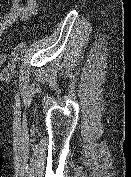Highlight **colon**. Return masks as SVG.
Returning <instances> with one entry per match:
<instances>
[{"label":"colon","instance_id":"1","mask_svg":"<svg viewBox=\"0 0 131 177\" xmlns=\"http://www.w3.org/2000/svg\"><path fill=\"white\" fill-rule=\"evenodd\" d=\"M6 49L0 50V67L3 65V62L6 58Z\"/></svg>","mask_w":131,"mask_h":177}]
</instances>
